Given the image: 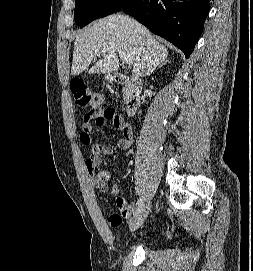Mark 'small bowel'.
<instances>
[{
	"instance_id": "1",
	"label": "small bowel",
	"mask_w": 253,
	"mask_h": 271,
	"mask_svg": "<svg viewBox=\"0 0 253 271\" xmlns=\"http://www.w3.org/2000/svg\"><path fill=\"white\" fill-rule=\"evenodd\" d=\"M108 121H110L113 126L120 130L123 134V137L117 141L118 148L122 150L129 149L133 142V131L131 127L121 119H119L118 122L108 120L103 116L101 112H88L83 116L80 129V142L83 145H90L93 123H95L99 127H102L105 126ZM112 153L113 149L110 146L103 143H94L91 144V153L89 157L85 160V169L91 178L92 186L103 191L107 189V181L110 179L111 173L108 170H100L98 169V167L103 162V158L105 156L111 155ZM134 208V203H129L120 208V215L111 214L110 216L115 215L118 216L120 220H122V217L130 216ZM120 223L113 226H118Z\"/></svg>"
}]
</instances>
